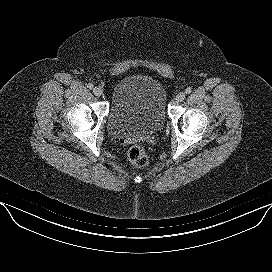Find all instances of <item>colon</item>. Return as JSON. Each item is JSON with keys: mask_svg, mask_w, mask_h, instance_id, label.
I'll list each match as a JSON object with an SVG mask.
<instances>
[{"mask_svg": "<svg viewBox=\"0 0 272 272\" xmlns=\"http://www.w3.org/2000/svg\"><path fill=\"white\" fill-rule=\"evenodd\" d=\"M128 159L136 167L144 168L148 165V156L143 146L132 145L128 150Z\"/></svg>", "mask_w": 272, "mask_h": 272, "instance_id": "obj_1", "label": "colon"}]
</instances>
